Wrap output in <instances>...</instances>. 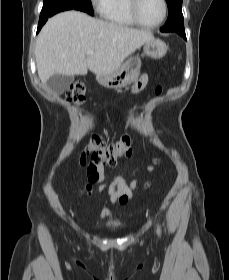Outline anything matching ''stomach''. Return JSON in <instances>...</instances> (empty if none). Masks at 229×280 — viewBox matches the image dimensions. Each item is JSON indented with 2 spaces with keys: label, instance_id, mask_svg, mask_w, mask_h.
<instances>
[{
  "label": "stomach",
  "instance_id": "obj_1",
  "mask_svg": "<svg viewBox=\"0 0 229 280\" xmlns=\"http://www.w3.org/2000/svg\"><path fill=\"white\" fill-rule=\"evenodd\" d=\"M143 51L148 57L160 59L166 54L167 46L163 41L153 39L143 44ZM140 68L141 59L139 57H131L125 64L113 72L96 74V80L106 88L119 89L137 81L140 75Z\"/></svg>",
  "mask_w": 229,
  "mask_h": 280
}]
</instances>
